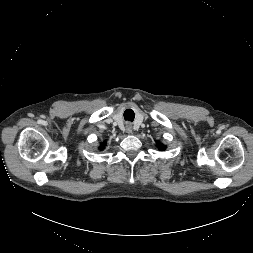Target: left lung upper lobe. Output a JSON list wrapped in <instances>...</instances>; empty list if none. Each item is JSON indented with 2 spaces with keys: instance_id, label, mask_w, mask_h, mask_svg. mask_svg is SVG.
<instances>
[{
  "instance_id": "left-lung-upper-lobe-1",
  "label": "left lung upper lobe",
  "mask_w": 253,
  "mask_h": 253,
  "mask_svg": "<svg viewBox=\"0 0 253 253\" xmlns=\"http://www.w3.org/2000/svg\"><path fill=\"white\" fill-rule=\"evenodd\" d=\"M157 147L160 149V150H164L166 148V146H164L163 144H161L160 142H157Z\"/></svg>"
}]
</instances>
